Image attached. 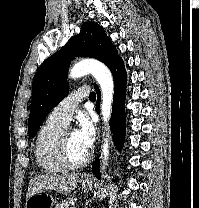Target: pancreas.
Segmentation results:
<instances>
[{"instance_id": "1", "label": "pancreas", "mask_w": 199, "mask_h": 208, "mask_svg": "<svg viewBox=\"0 0 199 208\" xmlns=\"http://www.w3.org/2000/svg\"><path fill=\"white\" fill-rule=\"evenodd\" d=\"M71 201L72 199H66L61 203L57 204L55 208H71L70 207Z\"/></svg>"}]
</instances>
